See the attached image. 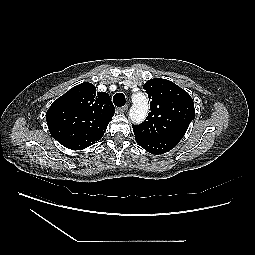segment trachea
<instances>
[{"label": "trachea", "instance_id": "obj_1", "mask_svg": "<svg viewBox=\"0 0 255 255\" xmlns=\"http://www.w3.org/2000/svg\"><path fill=\"white\" fill-rule=\"evenodd\" d=\"M113 102L116 106L122 107L125 105L126 100L123 93H116L113 97Z\"/></svg>", "mask_w": 255, "mask_h": 255}]
</instances>
